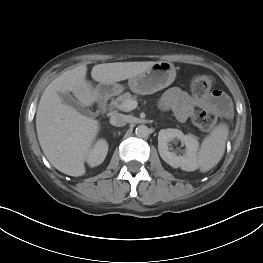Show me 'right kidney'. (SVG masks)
Returning a JSON list of instances; mask_svg holds the SVG:
<instances>
[{
  "instance_id": "ca27d5eb",
  "label": "right kidney",
  "mask_w": 263,
  "mask_h": 263,
  "mask_svg": "<svg viewBox=\"0 0 263 263\" xmlns=\"http://www.w3.org/2000/svg\"><path fill=\"white\" fill-rule=\"evenodd\" d=\"M108 152V144L106 140L100 139L98 140L93 148L90 150L87 156V163L89 164L90 167H95L97 165H100Z\"/></svg>"
}]
</instances>
